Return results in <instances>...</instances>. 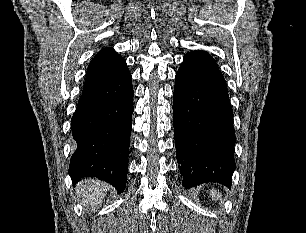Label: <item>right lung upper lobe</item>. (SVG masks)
<instances>
[{
	"mask_svg": "<svg viewBox=\"0 0 306 233\" xmlns=\"http://www.w3.org/2000/svg\"><path fill=\"white\" fill-rule=\"evenodd\" d=\"M126 61L112 48H104L90 62L83 90L103 85L126 70Z\"/></svg>",
	"mask_w": 306,
	"mask_h": 233,
	"instance_id": "1",
	"label": "right lung upper lobe"
}]
</instances>
